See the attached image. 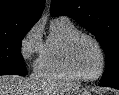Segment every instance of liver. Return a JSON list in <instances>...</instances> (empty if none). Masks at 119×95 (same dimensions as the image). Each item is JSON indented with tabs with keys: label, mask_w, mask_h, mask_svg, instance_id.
Segmentation results:
<instances>
[{
	"label": "liver",
	"mask_w": 119,
	"mask_h": 95,
	"mask_svg": "<svg viewBox=\"0 0 119 95\" xmlns=\"http://www.w3.org/2000/svg\"><path fill=\"white\" fill-rule=\"evenodd\" d=\"M79 88L77 84L35 74L29 78L18 75L0 76V95H67Z\"/></svg>",
	"instance_id": "obj_1"
}]
</instances>
